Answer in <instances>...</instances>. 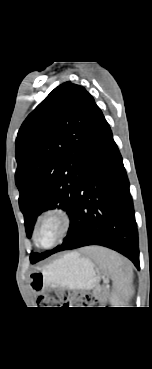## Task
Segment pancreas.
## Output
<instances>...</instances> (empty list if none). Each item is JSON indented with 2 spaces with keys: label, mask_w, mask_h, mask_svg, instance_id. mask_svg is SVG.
Returning a JSON list of instances; mask_svg holds the SVG:
<instances>
[{
  "label": "pancreas",
  "mask_w": 152,
  "mask_h": 369,
  "mask_svg": "<svg viewBox=\"0 0 152 369\" xmlns=\"http://www.w3.org/2000/svg\"><path fill=\"white\" fill-rule=\"evenodd\" d=\"M94 295H95V297H97L98 296V292H95Z\"/></svg>",
  "instance_id": "cf45deb5"
}]
</instances>
